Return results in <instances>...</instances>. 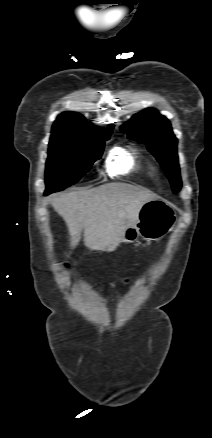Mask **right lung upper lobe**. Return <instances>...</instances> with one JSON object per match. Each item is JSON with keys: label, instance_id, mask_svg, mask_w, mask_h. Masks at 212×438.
Masks as SVG:
<instances>
[{"label": "right lung upper lobe", "instance_id": "cb5924a9", "mask_svg": "<svg viewBox=\"0 0 212 438\" xmlns=\"http://www.w3.org/2000/svg\"><path fill=\"white\" fill-rule=\"evenodd\" d=\"M113 125H110L106 131H102L86 119L75 112H64L59 115L52 127L51 137H68V138H94L110 136Z\"/></svg>", "mask_w": 212, "mask_h": 438}]
</instances>
